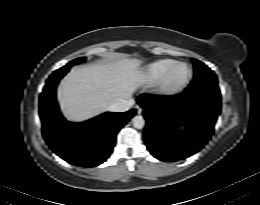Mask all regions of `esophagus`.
I'll list each match as a JSON object with an SVG mask.
<instances>
[{
    "label": "esophagus",
    "mask_w": 260,
    "mask_h": 205,
    "mask_svg": "<svg viewBox=\"0 0 260 205\" xmlns=\"http://www.w3.org/2000/svg\"><path fill=\"white\" fill-rule=\"evenodd\" d=\"M136 109H137V113H138V114H141V113H142V109H141L140 106L137 105V106H136Z\"/></svg>",
    "instance_id": "esophagus-1"
}]
</instances>
